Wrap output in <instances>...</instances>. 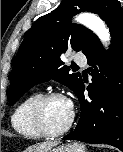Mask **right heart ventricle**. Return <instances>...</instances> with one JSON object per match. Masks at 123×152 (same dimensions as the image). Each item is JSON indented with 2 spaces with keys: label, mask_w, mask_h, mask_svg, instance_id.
<instances>
[{
  "label": "right heart ventricle",
  "mask_w": 123,
  "mask_h": 152,
  "mask_svg": "<svg viewBox=\"0 0 123 152\" xmlns=\"http://www.w3.org/2000/svg\"><path fill=\"white\" fill-rule=\"evenodd\" d=\"M40 96V93L28 95L16 106L12 113L11 125L22 137L28 139H39L43 137L33 126L31 121V109Z\"/></svg>",
  "instance_id": "1"
}]
</instances>
